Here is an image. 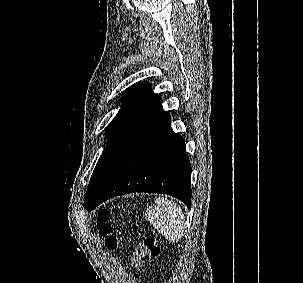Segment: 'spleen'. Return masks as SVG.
<instances>
[{
    "instance_id": "1",
    "label": "spleen",
    "mask_w": 303,
    "mask_h": 283,
    "mask_svg": "<svg viewBox=\"0 0 303 283\" xmlns=\"http://www.w3.org/2000/svg\"><path fill=\"white\" fill-rule=\"evenodd\" d=\"M146 220L167 240L178 242L184 235L185 217L182 209L167 197H159L145 212Z\"/></svg>"
}]
</instances>
